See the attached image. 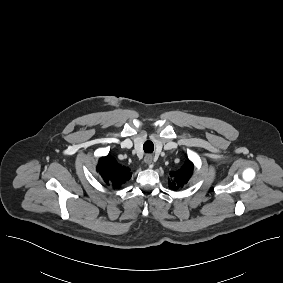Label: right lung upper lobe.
I'll return each mask as SVG.
<instances>
[{"mask_svg":"<svg viewBox=\"0 0 283 283\" xmlns=\"http://www.w3.org/2000/svg\"><path fill=\"white\" fill-rule=\"evenodd\" d=\"M97 171L108 185L116 189H119L132 176L129 168L121 166L109 156L100 158Z\"/></svg>","mask_w":283,"mask_h":283,"instance_id":"obj_1","label":"right lung upper lobe"}]
</instances>
